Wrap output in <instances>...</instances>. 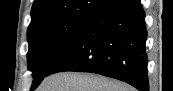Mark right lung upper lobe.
<instances>
[{
    "mask_svg": "<svg viewBox=\"0 0 173 91\" xmlns=\"http://www.w3.org/2000/svg\"><path fill=\"white\" fill-rule=\"evenodd\" d=\"M113 0H35L31 23L52 21L66 17L91 16Z\"/></svg>",
    "mask_w": 173,
    "mask_h": 91,
    "instance_id": "1",
    "label": "right lung upper lobe"
}]
</instances>
